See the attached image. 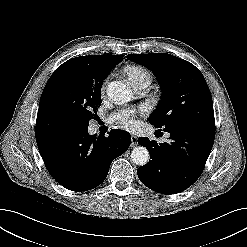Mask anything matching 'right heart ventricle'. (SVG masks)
<instances>
[{
    "instance_id": "right-heart-ventricle-1",
    "label": "right heart ventricle",
    "mask_w": 247,
    "mask_h": 247,
    "mask_svg": "<svg viewBox=\"0 0 247 247\" xmlns=\"http://www.w3.org/2000/svg\"><path fill=\"white\" fill-rule=\"evenodd\" d=\"M125 75L128 77L129 82L131 85L142 78H148L151 80V74L144 68L140 66H128L124 69Z\"/></svg>"
}]
</instances>
